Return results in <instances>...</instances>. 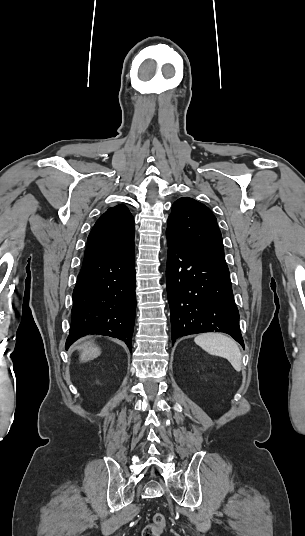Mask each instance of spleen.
Returning <instances> with one entry per match:
<instances>
[{
  "label": "spleen",
  "instance_id": "3e777b00",
  "mask_svg": "<svg viewBox=\"0 0 305 536\" xmlns=\"http://www.w3.org/2000/svg\"><path fill=\"white\" fill-rule=\"evenodd\" d=\"M194 342L202 350L211 354V356L226 358L234 370L240 372L242 356L236 342L232 338H227L223 334H200V336H196Z\"/></svg>",
  "mask_w": 305,
  "mask_h": 536
}]
</instances>
